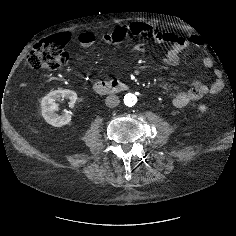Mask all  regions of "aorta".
Wrapping results in <instances>:
<instances>
[{
  "instance_id": "aorta-1",
  "label": "aorta",
  "mask_w": 236,
  "mask_h": 236,
  "mask_svg": "<svg viewBox=\"0 0 236 236\" xmlns=\"http://www.w3.org/2000/svg\"><path fill=\"white\" fill-rule=\"evenodd\" d=\"M137 103V97L133 93H128L124 96V104L128 107H132Z\"/></svg>"
}]
</instances>
